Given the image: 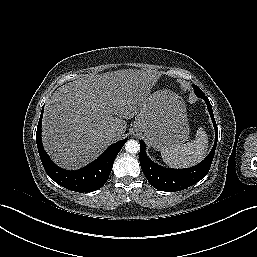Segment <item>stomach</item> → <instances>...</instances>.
<instances>
[{
  "label": "stomach",
  "mask_w": 257,
  "mask_h": 257,
  "mask_svg": "<svg viewBox=\"0 0 257 257\" xmlns=\"http://www.w3.org/2000/svg\"><path fill=\"white\" fill-rule=\"evenodd\" d=\"M134 131L144 132L156 150L183 144L189 137V125L183 99L169 90L149 95L134 121Z\"/></svg>",
  "instance_id": "obj_1"
}]
</instances>
